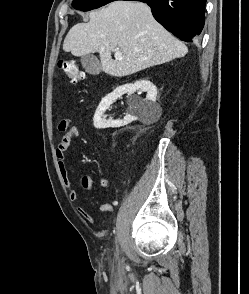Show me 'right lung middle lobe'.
I'll return each mask as SVG.
<instances>
[{"mask_svg": "<svg viewBox=\"0 0 249 294\" xmlns=\"http://www.w3.org/2000/svg\"><path fill=\"white\" fill-rule=\"evenodd\" d=\"M115 0H73L72 5L75 9L89 11L99 8Z\"/></svg>", "mask_w": 249, "mask_h": 294, "instance_id": "1", "label": "right lung middle lobe"}]
</instances>
